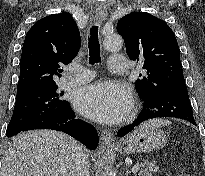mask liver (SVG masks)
Returning a JSON list of instances; mask_svg holds the SVG:
<instances>
[{"instance_id":"6515ba94","label":"liver","mask_w":205,"mask_h":176,"mask_svg":"<svg viewBox=\"0 0 205 176\" xmlns=\"http://www.w3.org/2000/svg\"><path fill=\"white\" fill-rule=\"evenodd\" d=\"M79 147L72 137L58 131L21 133L5 151L2 176H74Z\"/></svg>"}]
</instances>
